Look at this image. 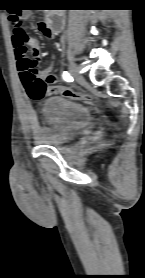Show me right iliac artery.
<instances>
[{"label": "right iliac artery", "mask_w": 145, "mask_h": 278, "mask_svg": "<svg viewBox=\"0 0 145 278\" xmlns=\"http://www.w3.org/2000/svg\"><path fill=\"white\" fill-rule=\"evenodd\" d=\"M62 77L66 82H72L73 81L72 76L67 71L63 72Z\"/></svg>", "instance_id": "82829eb1"}]
</instances>
